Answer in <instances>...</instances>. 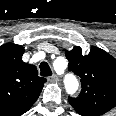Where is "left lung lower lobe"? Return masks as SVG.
I'll return each mask as SVG.
<instances>
[{"mask_svg": "<svg viewBox=\"0 0 116 116\" xmlns=\"http://www.w3.org/2000/svg\"><path fill=\"white\" fill-rule=\"evenodd\" d=\"M99 115H101V114L91 112V113L84 114L83 116H99Z\"/></svg>", "mask_w": 116, "mask_h": 116, "instance_id": "left-lung-lower-lobe-1", "label": "left lung lower lobe"}]
</instances>
